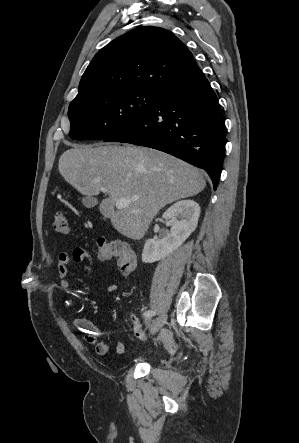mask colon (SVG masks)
Here are the masks:
<instances>
[{"mask_svg": "<svg viewBox=\"0 0 299 443\" xmlns=\"http://www.w3.org/2000/svg\"><path fill=\"white\" fill-rule=\"evenodd\" d=\"M54 230L62 235L69 233V224L64 213H56L53 221ZM97 255L100 260H113L123 274H130L136 270L137 257L133 249L126 242L108 240L105 238L97 241ZM158 339L162 341L171 352L178 350V343L168 331H162Z\"/></svg>", "mask_w": 299, "mask_h": 443, "instance_id": "5ec220e1", "label": "colon"}]
</instances>
